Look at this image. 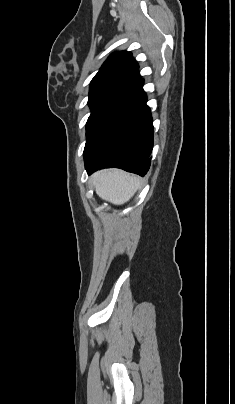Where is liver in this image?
<instances>
[{"label":"liver","instance_id":"liver-1","mask_svg":"<svg viewBox=\"0 0 235 404\" xmlns=\"http://www.w3.org/2000/svg\"><path fill=\"white\" fill-rule=\"evenodd\" d=\"M91 181L101 199L122 205L141 187L142 179L119 169H110L96 172Z\"/></svg>","mask_w":235,"mask_h":404}]
</instances>
